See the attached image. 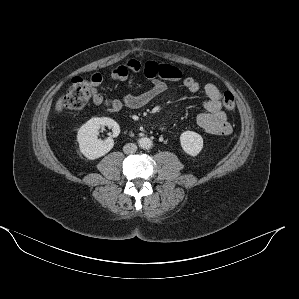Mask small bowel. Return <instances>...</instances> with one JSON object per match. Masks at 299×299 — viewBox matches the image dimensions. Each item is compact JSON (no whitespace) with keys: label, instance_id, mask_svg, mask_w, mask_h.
<instances>
[{"label":"small bowel","instance_id":"1","mask_svg":"<svg viewBox=\"0 0 299 299\" xmlns=\"http://www.w3.org/2000/svg\"><path fill=\"white\" fill-rule=\"evenodd\" d=\"M131 73H143L151 79L150 88L140 95H125L121 99L107 98L97 89L102 78H99L92 93V100L95 105L100 106L108 112H117L122 107L139 109L162 94L166 88V81L180 82L190 92L203 91L207 99L203 104L204 112L197 115L196 122L199 128L211 135H225L231 132V126L227 122V116L223 111V93L214 84L201 85L196 79L184 76L175 66L149 61L142 65L137 59H130L126 64L115 67L109 76L113 80L126 81Z\"/></svg>","mask_w":299,"mask_h":299}]
</instances>
